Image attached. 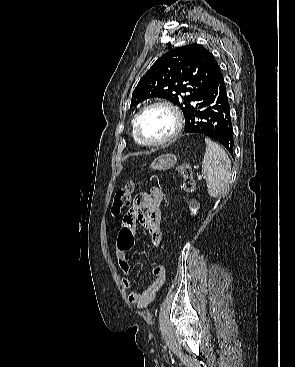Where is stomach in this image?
<instances>
[{"label": "stomach", "instance_id": "stomach-1", "mask_svg": "<svg viewBox=\"0 0 295 367\" xmlns=\"http://www.w3.org/2000/svg\"><path fill=\"white\" fill-rule=\"evenodd\" d=\"M177 157L173 154H164L155 158L150 167L154 170H167L175 165Z\"/></svg>", "mask_w": 295, "mask_h": 367}]
</instances>
